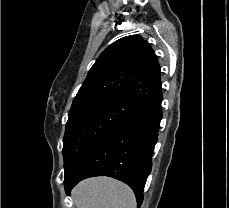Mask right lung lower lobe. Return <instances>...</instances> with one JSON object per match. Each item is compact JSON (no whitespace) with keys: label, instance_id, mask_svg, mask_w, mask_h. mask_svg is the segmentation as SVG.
Listing matches in <instances>:
<instances>
[{"label":"right lung lower lobe","instance_id":"1","mask_svg":"<svg viewBox=\"0 0 229 208\" xmlns=\"http://www.w3.org/2000/svg\"><path fill=\"white\" fill-rule=\"evenodd\" d=\"M162 94L131 118L95 142L64 177L67 194L82 179L110 176L128 184L138 208L151 172L154 146L162 119Z\"/></svg>","mask_w":229,"mask_h":208}]
</instances>
